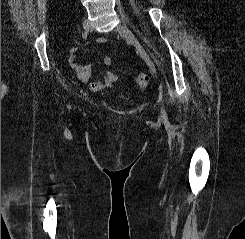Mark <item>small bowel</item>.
<instances>
[{"mask_svg": "<svg viewBox=\"0 0 245 239\" xmlns=\"http://www.w3.org/2000/svg\"><path fill=\"white\" fill-rule=\"evenodd\" d=\"M97 43L103 45L106 43L105 38H98ZM79 51L77 48L71 50L69 63L74 70L76 77L82 83L88 84V88L92 92L105 91L114 85L119 79V76L112 71H105L101 79L90 82L92 77V67L89 64H82L79 62ZM113 63L112 58L106 56L103 58V64L105 66H111Z\"/></svg>", "mask_w": 245, "mask_h": 239, "instance_id": "c3829d8e", "label": "small bowel"}]
</instances>
